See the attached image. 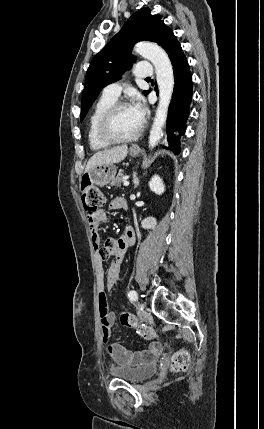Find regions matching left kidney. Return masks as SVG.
<instances>
[{"instance_id": "obj_1", "label": "left kidney", "mask_w": 264, "mask_h": 429, "mask_svg": "<svg viewBox=\"0 0 264 429\" xmlns=\"http://www.w3.org/2000/svg\"><path fill=\"white\" fill-rule=\"evenodd\" d=\"M149 188L157 195H161L165 191V186L163 184L162 179L158 175H154L149 181ZM157 222L153 217L145 218L141 225L144 229H154Z\"/></svg>"}]
</instances>
